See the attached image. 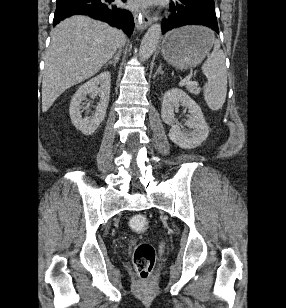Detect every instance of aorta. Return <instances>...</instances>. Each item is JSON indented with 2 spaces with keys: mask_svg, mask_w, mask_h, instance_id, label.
I'll return each mask as SVG.
<instances>
[{
  "mask_svg": "<svg viewBox=\"0 0 286 308\" xmlns=\"http://www.w3.org/2000/svg\"><path fill=\"white\" fill-rule=\"evenodd\" d=\"M161 33L162 27L159 23H155L148 28L139 48L138 56L141 61H146L152 56L159 43Z\"/></svg>",
  "mask_w": 286,
  "mask_h": 308,
  "instance_id": "obj_1",
  "label": "aorta"
}]
</instances>
